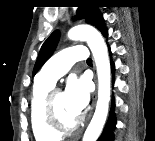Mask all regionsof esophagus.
Here are the masks:
<instances>
[{
    "label": "esophagus",
    "instance_id": "1",
    "mask_svg": "<svg viewBox=\"0 0 155 141\" xmlns=\"http://www.w3.org/2000/svg\"><path fill=\"white\" fill-rule=\"evenodd\" d=\"M94 72H95V68H94ZM95 83H96V90H95V93L93 95V102H92V106L94 107L95 104H96V99H97V80H96V75H95Z\"/></svg>",
    "mask_w": 155,
    "mask_h": 141
}]
</instances>
